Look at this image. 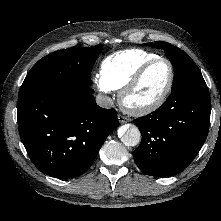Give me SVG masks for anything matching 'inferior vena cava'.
Returning a JSON list of instances; mask_svg holds the SVG:
<instances>
[{
	"mask_svg": "<svg viewBox=\"0 0 221 221\" xmlns=\"http://www.w3.org/2000/svg\"><path fill=\"white\" fill-rule=\"evenodd\" d=\"M96 102L100 107L103 108H110L113 106V100L106 95H101V94L97 95Z\"/></svg>",
	"mask_w": 221,
	"mask_h": 221,
	"instance_id": "inferior-vena-cava-1",
	"label": "inferior vena cava"
}]
</instances>
